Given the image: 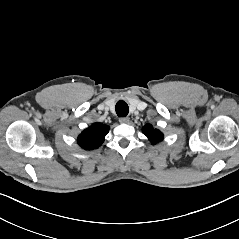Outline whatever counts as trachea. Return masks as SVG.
<instances>
[{
    "label": "trachea",
    "instance_id": "obj_1",
    "mask_svg": "<svg viewBox=\"0 0 239 239\" xmlns=\"http://www.w3.org/2000/svg\"><path fill=\"white\" fill-rule=\"evenodd\" d=\"M116 113L119 117H126L129 113V107L123 100H119L115 106Z\"/></svg>",
    "mask_w": 239,
    "mask_h": 239
}]
</instances>
